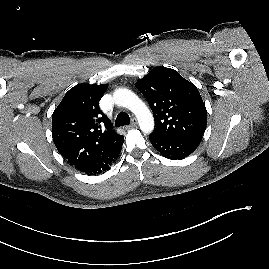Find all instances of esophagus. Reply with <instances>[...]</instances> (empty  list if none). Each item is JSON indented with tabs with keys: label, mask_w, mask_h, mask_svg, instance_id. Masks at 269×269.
Listing matches in <instances>:
<instances>
[{
	"label": "esophagus",
	"mask_w": 269,
	"mask_h": 269,
	"mask_svg": "<svg viewBox=\"0 0 269 269\" xmlns=\"http://www.w3.org/2000/svg\"><path fill=\"white\" fill-rule=\"evenodd\" d=\"M136 126H137L136 119H132V123L130 125H127L125 128L126 129H132V128L136 127Z\"/></svg>",
	"instance_id": "esophagus-1"
}]
</instances>
